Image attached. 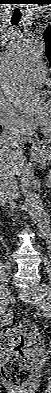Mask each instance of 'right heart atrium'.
I'll use <instances>...</instances> for the list:
<instances>
[{"label":"right heart atrium","mask_w":51,"mask_h":393,"mask_svg":"<svg viewBox=\"0 0 51 393\" xmlns=\"http://www.w3.org/2000/svg\"><path fill=\"white\" fill-rule=\"evenodd\" d=\"M0 124L5 131L19 136H26L33 130V124L6 100L0 101Z\"/></svg>","instance_id":"d8ad5b80"}]
</instances>
